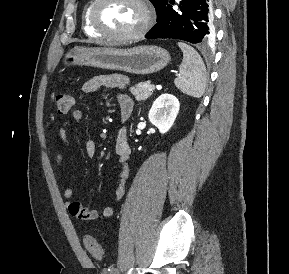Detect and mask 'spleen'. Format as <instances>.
Here are the masks:
<instances>
[{
    "mask_svg": "<svg viewBox=\"0 0 289 274\" xmlns=\"http://www.w3.org/2000/svg\"><path fill=\"white\" fill-rule=\"evenodd\" d=\"M183 52L179 75L174 80L176 87L192 97H201L206 87V68L198 52L186 43L178 42Z\"/></svg>",
    "mask_w": 289,
    "mask_h": 274,
    "instance_id": "spleen-1",
    "label": "spleen"
}]
</instances>
